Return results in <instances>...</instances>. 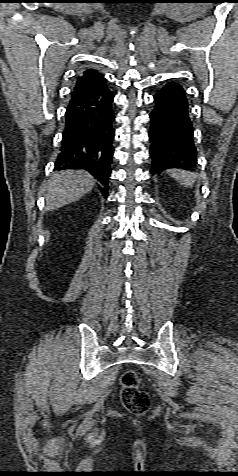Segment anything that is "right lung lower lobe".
Segmentation results:
<instances>
[{
  "label": "right lung lower lobe",
  "instance_id": "1",
  "mask_svg": "<svg viewBox=\"0 0 238 476\" xmlns=\"http://www.w3.org/2000/svg\"><path fill=\"white\" fill-rule=\"evenodd\" d=\"M114 95L104 77L80 97L70 101L65 113V129L56 169H84L103 186L107 194L114 153L112 109Z\"/></svg>",
  "mask_w": 238,
  "mask_h": 476
}]
</instances>
